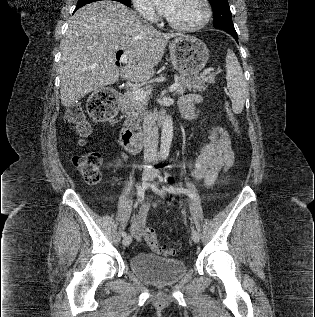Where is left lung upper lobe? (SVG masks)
<instances>
[{"label": "left lung upper lobe", "instance_id": "1", "mask_svg": "<svg viewBox=\"0 0 315 317\" xmlns=\"http://www.w3.org/2000/svg\"><path fill=\"white\" fill-rule=\"evenodd\" d=\"M214 13V27L235 30L228 0H208Z\"/></svg>", "mask_w": 315, "mask_h": 317}]
</instances>
